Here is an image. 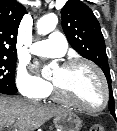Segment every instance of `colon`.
Instances as JSON below:
<instances>
[{
    "mask_svg": "<svg viewBox=\"0 0 117 131\" xmlns=\"http://www.w3.org/2000/svg\"><path fill=\"white\" fill-rule=\"evenodd\" d=\"M89 131H106V130H105L103 125H101V124H94V125L91 126Z\"/></svg>",
    "mask_w": 117,
    "mask_h": 131,
    "instance_id": "colon-1",
    "label": "colon"
}]
</instances>
